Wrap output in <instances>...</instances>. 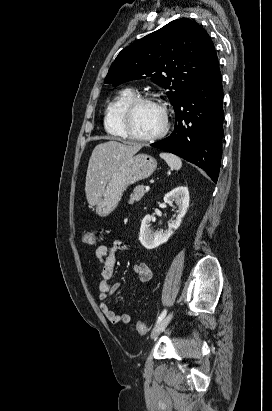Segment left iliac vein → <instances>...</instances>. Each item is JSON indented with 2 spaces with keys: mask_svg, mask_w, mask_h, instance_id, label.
Returning <instances> with one entry per match:
<instances>
[{
  "mask_svg": "<svg viewBox=\"0 0 272 411\" xmlns=\"http://www.w3.org/2000/svg\"><path fill=\"white\" fill-rule=\"evenodd\" d=\"M173 317V312H170L160 323H158L151 331V338L154 339L167 327Z\"/></svg>",
  "mask_w": 272,
  "mask_h": 411,
  "instance_id": "obj_1",
  "label": "left iliac vein"
}]
</instances>
